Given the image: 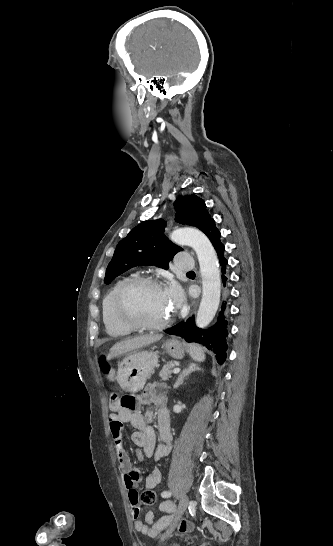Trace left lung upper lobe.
<instances>
[{
	"label": "left lung upper lobe",
	"instance_id": "obj_1",
	"mask_svg": "<svg viewBox=\"0 0 333 546\" xmlns=\"http://www.w3.org/2000/svg\"><path fill=\"white\" fill-rule=\"evenodd\" d=\"M176 222L195 226L206 236L214 220L209 215L205 202L196 195L179 196L174 202ZM166 222L162 219L145 221L134 227L116 246L112 260L106 269L104 282L109 284L115 277L135 266H150L168 269L169 261L182 248L173 244L164 235Z\"/></svg>",
	"mask_w": 333,
	"mask_h": 546
}]
</instances>
